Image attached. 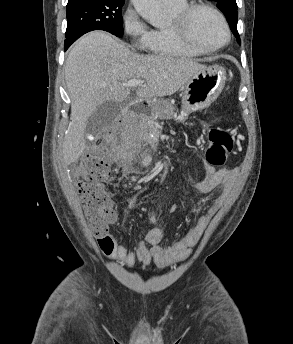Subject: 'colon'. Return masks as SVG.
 <instances>
[{
  "label": "colon",
  "instance_id": "1",
  "mask_svg": "<svg viewBox=\"0 0 293 344\" xmlns=\"http://www.w3.org/2000/svg\"><path fill=\"white\" fill-rule=\"evenodd\" d=\"M231 135L220 129H211L205 152L206 162L213 167L224 165L232 151ZM87 176L79 183L78 189L84 211L92 232L103 236L116 218L110 194L103 182L113 178L114 170L110 162L101 154H92L86 160Z\"/></svg>",
  "mask_w": 293,
  "mask_h": 344
}]
</instances>
